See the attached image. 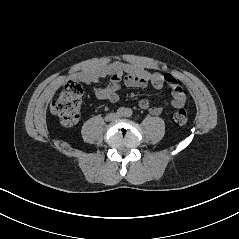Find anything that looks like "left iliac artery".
I'll use <instances>...</instances> for the list:
<instances>
[{
  "label": "left iliac artery",
  "instance_id": "1",
  "mask_svg": "<svg viewBox=\"0 0 239 239\" xmlns=\"http://www.w3.org/2000/svg\"><path fill=\"white\" fill-rule=\"evenodd\" d=\"M132 114H133V111H132L130 108H127V109L125 110V116H126V117H131Z\"/></svg>",
  "mask_w": 239,
  "mask_h": 239
}]
</instances>
